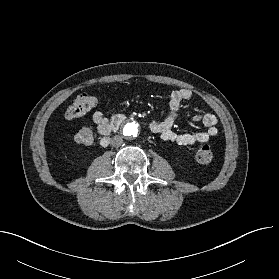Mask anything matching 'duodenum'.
Returning a JSON list of instances; mask_svg holds the SVG:
<instances>
[{
    "mask_svg": "<svg viewBox=\"0 0 279 279\" xmlns=\"http://www.w3.org/2000/svg\"><path fill=\"white\" fill-rule=\"evenodd\" d=\"M124 121H125V116H123V115H118L113 119L111 126H110L109 133L107 135H105L104 137H102L100 140V144L102 147L108 146V144L110 142L109 134L113 131H116Z\"/></svg>",
    "mask_w": 279,
    "mask_h": 279,
    "instance_id": "obj_1",
    "label": "duodenum"
}]
</instances>
